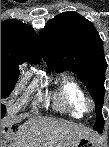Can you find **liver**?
I'll list each match as a JSON object with an SVG mask.
<instances>
[{
    "label": "liver",
    "mask_w": 109,
    "mask_h": 147,
    "mask_svg": "<svg viewBox=\"0 0 109 147\" xmlns=\"http://www.w3.org/2000/svg\"><path fill=\"white\" fill-rule=\"evenodd\" d=\"M80 138L96 140V133L71 122L34 117L19 126L9 147H76Z\"/></svg>",
    "instance_id": "1"
}]
</instances>
